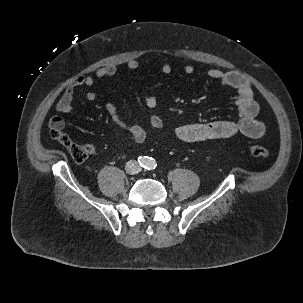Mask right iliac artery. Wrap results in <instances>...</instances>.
<instances>
[{
    "instance_id": "1",
    "label": "right iliac artery",
    "mask_w": 303,
    "mask_h": 303,
    "mask_svg": "<svg viewBox=\"0 0 303 303\" xmlns=\"http://www.w3.org/2000/svg\"><path fill=\"white\" fill-rule=\"evenodd\" d=\"M148 157H146V156H140V157H138V162H139V164L142 166V167H146L147 166V164H148V159H147Z\"/></svg>"
}]
</instances>
